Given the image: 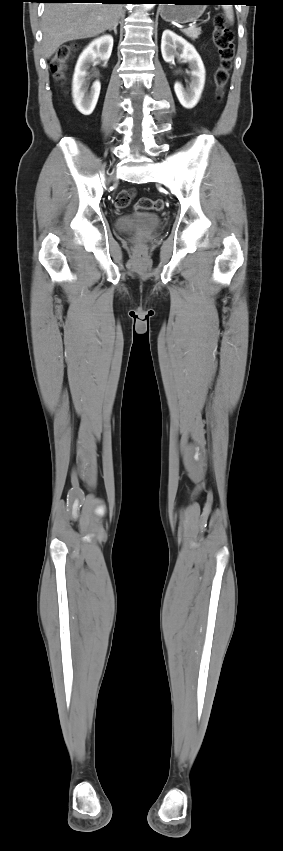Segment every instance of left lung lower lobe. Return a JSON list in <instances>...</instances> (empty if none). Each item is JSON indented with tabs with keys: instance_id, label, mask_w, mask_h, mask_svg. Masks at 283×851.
I'll return each instance as SVG.
<instances>
[{
	"instance_id": "left-lung-lower-lobe-1",
	"label": "left lung lower lobe",
	"mask_w": 283,
	"mask_h": 851,
	"mask_svg": "<svg viewBox=\"0 0 283 851\" xmlns=\"http://www.w3.org/2000/svg\"><path fill=\"white\" fill-rule=\"evenodd\" d=\"M144 1L147 2V3L161 4V3H167L169 0H144ZM212 1L215 2V3H232V2H237L238 0H212Z\"/></svg>"
}]
</instances>
